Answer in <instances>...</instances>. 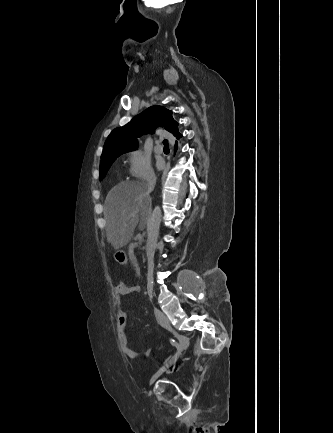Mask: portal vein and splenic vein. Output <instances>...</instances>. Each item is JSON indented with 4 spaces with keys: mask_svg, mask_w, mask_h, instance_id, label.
<instances>
[{
    "mask_svg": "<svg viewBox=\"0 0 333 433\" xmlns=\"http://www.w3.org/2000/svg\"><path fill=\"white\" fill-rule=\"evenodd\" d=\"M130 216H133V214L130 215ZM137 239H138V240H141V239H142V236H141V235H138V236H137Z\"/></svg>",
    "mask_w": 333,
    "mask_h": 433,
    "instance_id": "portal-vein-and-splenic-vein-1",
    "label": "portal vein and splenic vein"
}]
</instances>
